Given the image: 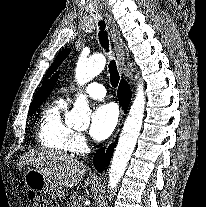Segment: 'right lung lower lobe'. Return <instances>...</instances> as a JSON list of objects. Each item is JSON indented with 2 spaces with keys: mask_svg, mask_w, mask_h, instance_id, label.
<instances>
[{
  "mask_svg": "<svg viewBox=\"0 0 206 207\" xmlns=\"http://www.w3.org/2000/svg\"><path fill=\"white\" fill-rule=\"evenodd\" d=\"M118 97L120 100V103L126 111L128 109L130 100H131V90L128 85V83L125 80H122L120 82L119 88H118ZM113 152V146H110L107 150V153L105 154L104 149H100L96 152L94 156V166L101 172L105 169V166L109 164L110 159L112 157Z\"/></svg>",
  "mask_w": 206,
  "mask_h": 207,
  "instance_id": "right-lung-lower-lobe-1",
  "label": "right lung lower lobe"
}]
</instances>
